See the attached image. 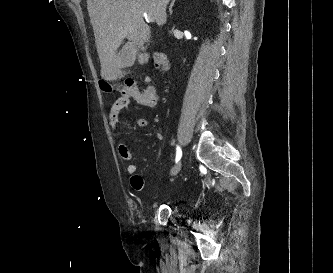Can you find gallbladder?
<instances>
[{
    "label": "gallbladder",
    "mask_w": 333,
    "mask_h": 273,
    "mask_svg": "<svg viewBox=\"0 0 333 273\" xmlns=\"http://www.w3.org/2000/svg\"><path fill=\"white\" fill-rule=\"evenodd\" d=\"M137 47L135 44L129 42L126 43L122 50L119 52V57L121 58V68L131 67L136 59Z\"/></svg>",
    "instance_id": "gallbladder-1"
}]
</instances>
